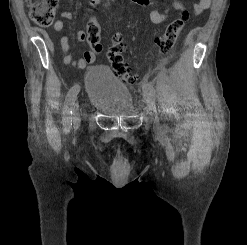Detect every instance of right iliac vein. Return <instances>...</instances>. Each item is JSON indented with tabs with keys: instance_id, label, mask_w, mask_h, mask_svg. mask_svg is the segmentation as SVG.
<instances>
[{
	"instance_id": "63e3f726",
	"label": "right iliac vein",
	"mask_w": 247,
	"mask_h": 245,
	"mask_svg": "<svg viewBox=\"0 0 247 245\" xmlns=\"http://www.w3.org/2000/svg\"><path fill=\"white\" fill-rule=\"evenodd\" d=\"M81 117H80V112H79V105L78 103H74L73 106V123L75 126H78L80 124Z\"/></svg>"
}]
</instances>
